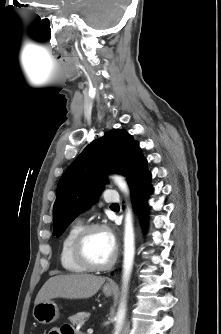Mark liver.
<instances>
[{
	"instance_id": "liver-1",
	"label": "liver",
	"mask_w": 221,
	"mask_h": 334,
	"mask_svg": "<svg viewBox=\"0 0 221 334\" xmlns=\"http://www.w3.org/2000/svg\"><path fill=\"white\" fill-rule=\"evenodd\" d=\"M105 282L104 277L90 274L57 275L46 281L38 292L35 305L53 298L83 299L95 295Z\"/></svg>"
}]
</instances>
